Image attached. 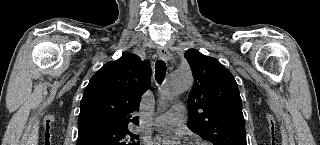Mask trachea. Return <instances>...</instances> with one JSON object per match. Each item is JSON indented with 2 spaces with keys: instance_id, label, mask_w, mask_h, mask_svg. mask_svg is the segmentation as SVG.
Masks as SVG:
<instances>
[{
  "instance_id": "trachea-1",
  "label": "trachea",
  "mask_w": 320,
  "mask_h": 145,
  "mask_svg": "<svg viewBox=\"0 0 320 145\" xmlns=\"http://www.w3.org/2000/svg\"><path fill=\"white\" fill-rule=\"evenodd\" d=\"M155 79L158 83H162L166 74V64L163 60H158L155 64Z\"/></svg>"
}]
</instances>
